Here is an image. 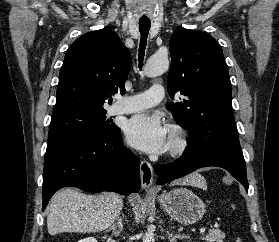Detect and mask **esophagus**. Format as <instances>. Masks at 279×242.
<instances>
[{"mask_svg": "<svg viewBox=\"0 0 279 242\" xmlns=\"http://www.w3.org/2000/svg\"><path fill=\"white\" fill-rule=\"evenodd\" d=\"M140 176H141V187L147 192L154 191L153 187V167L152 165L143 160L140 163Z\"/></svg>", "mask_w": 279, "mask_h": 242, "instance_id": "obj_1", "label": "esophagus"}]
</instances>
